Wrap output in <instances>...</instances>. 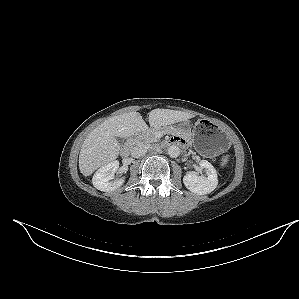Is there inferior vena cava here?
<instances>
[{"instance_id": "obj_1", "label": "inferior vena cava", "mask_w": 299, "mask_h": 299, "mask_svg": "<svg viewBox=\"0 0 299 299\" xmlns=\"http://www.w3.org/2000/svg\"><path fill=\"white\" fill-rule=\"evenodd\" d=\"M148 149L149 146L147 144H139L131 150V155L135 158L141 157L148 151Z\"/></svg>"}]
</instances>
